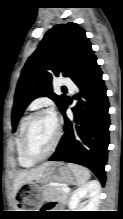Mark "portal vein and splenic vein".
I'll list each match as a JSON object with an SVG mask.
<instances>
[{"mask_svg": "<svg viewBox=\"0 0 123 219\" xmlns=\"http://www.w3.org/2000/svg\"><path fill=\"white\" fill-rule=\"evenodd\" d=\"M62 190L66 193H68L70 191V189L68 187H63Z\"/></svg>", "mask_w": 123, "mask_h": 219, "instance_id": "18ae733b", "label": "portal vein and splenic vein"}]
</instances>
